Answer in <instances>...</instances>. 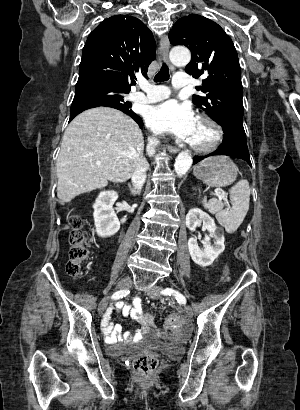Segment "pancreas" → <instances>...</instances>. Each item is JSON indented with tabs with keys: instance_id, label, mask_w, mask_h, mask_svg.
<instances>
[{
	"instance_id": "pancreas-1",
	"label": "pancreas",
	"mask_w": 300,
	"mask_h": 410,
	"mask_svg": "<svg viewBox=\"0 0 300 410\" xmlns=\"http://www.w3.org/2000/svg\"><path fill=\"white\" fill-rule=\"evenodd\" d=\"M203 205H204L205 208H208V204H207L206 200L203 201Z\"/></svg>"
}]
</instances>
